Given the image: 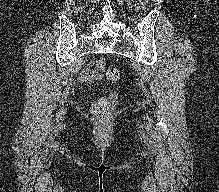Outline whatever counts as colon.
<instances>
[{
    "label": "colon",
    "instance_id": "5ec220e1",
    "mask_svg": "<svg viewBox=\"0 0 219 192\" xmlns=\"http://www.w3.org/2000/svg\"><path fill=\"white\" fill-rule=\"evenodd\" d=\"M120 71L115 67H109L106 70V77L111 81H118L120 79ZM116 98V94L112 93L107 97L99 98L92 105V114L98 121L105 120L112 109L113 101Z\"/></svg>",
    "mask_w": 219,
    "mask_h": 192
}]
</instances>
